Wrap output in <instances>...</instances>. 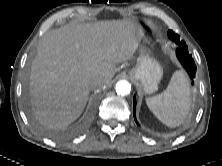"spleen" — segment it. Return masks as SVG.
<instances>
[{"instance_id":"1","label":"spleen","mask_w":222,"mask_h":166,"mask_svg":"<svg viewBox=\"0 0 222 166\" xmlns=\"http://www.w3.org/2000/svg\"><path fill=\"white\" fill-rule=\"evenodd\" d=\"M150 111L166 126L181 125L190 109V87L183 71H176L162 93L146 98Z\"/></svg>"}]
</instances>
